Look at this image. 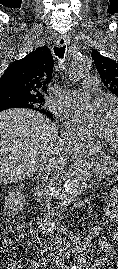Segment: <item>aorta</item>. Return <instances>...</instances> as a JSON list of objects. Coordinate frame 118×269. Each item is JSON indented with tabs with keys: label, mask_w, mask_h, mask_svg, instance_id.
<instances>
[{
	"label": "aorta",
	"mask_w": 118,
	"mask_h": 269,
	"mask_svg": "<svg viewBox=\"0 0 118 269\" xmlns=\"http://www.w3.org/2000/svg\"><path fill=\"white\" fill-rule=\"evenodd\" d=\"M91 69V59L88 56L80 55L74 59L70 68V78L78 81L87 75ZM88 177L86 169L77 167L67 175L64 188L66 192H72L79 189Z\"/></svg>",
	"instance_id": "762f6f07"
}]
</instances>
